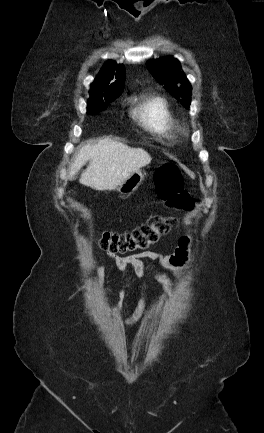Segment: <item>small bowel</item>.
I'll return each instance as SVG.
<instances>
[{"instance_id": "small-bowel-1", "label": "small bowel", "mask_w": 264, "mask_h": 433, "mask_svg": "<svg viewBox=\"0 0 264 433\" xmlns=\"http://www.w3.org/2000/svg\"><path fill=\"white\" fill-rule=\"evenodd\" d=\"M191 251V241L188 237H182L179 239L178 247L174 251V253L170 255H163L157 251H145L139 254L129 255V256H115L111 255L117 267L121 270V272L127 276L129 267L134 269V272L137 277L141 279H147L149 275L153 276V278L160 283L162 286L164 293L160 296L158 305L156 308V314L158 315L163 309L166 301L171 296V283L169 279L163 275L153 271H150L147 267L146 260H158L159 263L166 269L175 272L177 275L181 276L184 268L187 266L190 258ZM105 277V268L103 265H100L96 274V281L101 282ZM126 289L123 288L119 294L117 303L114 306L112 311V315L117 317L120 315L122 307L124 305V301L126 298ZM146 298L143 293L138 306L133 314V316L125 321V325L130 327L132 326L140 317Z\"/></svg>"}]
</instances>
